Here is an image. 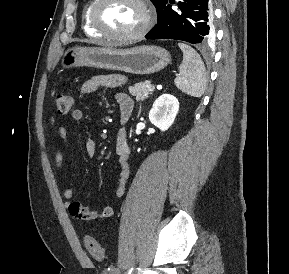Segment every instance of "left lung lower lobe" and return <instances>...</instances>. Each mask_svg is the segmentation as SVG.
<instances>
[{"instance_id": "0a47b994", "label": "left lung lower lobe", "mask_w": 289, "mask_h": 274, "mask_svg": "<svg viewBox=\"0 0 289 274\" xmlns=\"http://www.w3.org/2000/svg\"><path fill=\"white\" fill-rule=\"evenodd\" d=\"M170 4H174V0H168L160 10L158 22L147 34V39H177L206 44L214 37L210 0L179 1V13Z\"/></svg>"}]
</instances>
